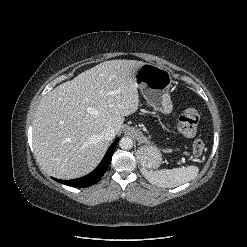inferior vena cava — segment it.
<instances>
[{"instance_id": "obj_1", "label": "inferior vena cava", "mask_w": 247, "mask_h": 247, "mask_svg": "<svg viewBox=\"0 0 247 247\" xmlns=\"http://www.w3.org/2000/svg\"><path fill=\"white\" fill-rule=\"evenodd\" d=\"M115 135V130L112 127H107L102 132V137L107 141H112Z\"/></svg>"}]
</instances>
